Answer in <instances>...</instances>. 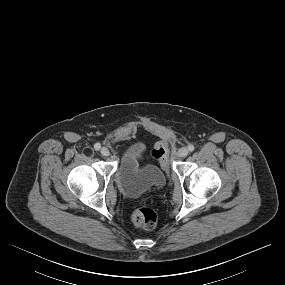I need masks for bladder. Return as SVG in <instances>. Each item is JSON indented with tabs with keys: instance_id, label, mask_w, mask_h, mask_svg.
Returning <instances> with one entry per match:
<instances>
[{
	"instance_id": "bladder-1",
	"label": "bladder",
	"mask_w": 285,
	"mask_h": 285,
	"mask_svg": "<svg viewBox=\"0 0 285 285\" xmlns=\"http://www.w3.org/2000/svg\"><path fill=\"white\" fill-rule=\"evenodd\" d=\"M145 148L142 140H135L127 145L119 160L115 180L126 196L135 197L165 183V176L157 166L140 164Z\"/></svg>"
}]
</instances>
